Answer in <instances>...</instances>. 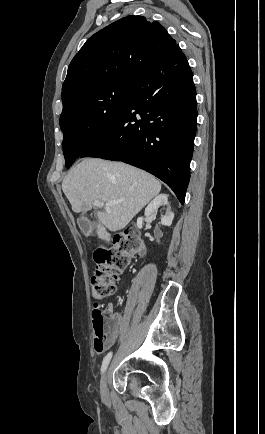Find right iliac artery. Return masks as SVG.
Instances as JSON below:
<instances>
[{
  "instance_id": "right-iliac-artery-1",
  "label": "right iliac artery",
  "mask_w": 265,
  "mask_h": 434,
  "mask_svg": "<svg viewBox=\"0 0 265 434\" xmlns=\"http://www.w3.org/2000/svg\"><path fill=\"white\" fill-rule=\"evenodd\" d=\"M111 358H112V352H109V353L104 357L103 362H102V366H101V374H103V373L105 372V370L107 369V366H108V364H109Z\"/></svg>"
}]
</instances>
